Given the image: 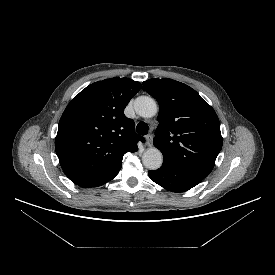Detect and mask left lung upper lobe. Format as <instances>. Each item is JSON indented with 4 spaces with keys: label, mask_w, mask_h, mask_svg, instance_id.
Listing matches in <instances>:
<instances>
[{
    "label": "left lung upper lobe",
    "mask_w": 275,
    "mask_h": 275,
    "mask_svg": "<svg viewBox=\"0 0 275 275\" xmlns=\"http://www.w3.org/2000/svg\"><path fill=\"white\" fill-rule=\"evenodd\" d=\"M143 86L160 106L153 143L163 162L204 179L223 143L214 109L194 89L169 78L149 79Z\"/></svg>",
    "instance_id": "left-lung-upper-lobe-1"
}]
</instances>
